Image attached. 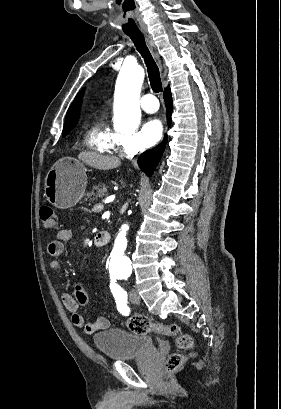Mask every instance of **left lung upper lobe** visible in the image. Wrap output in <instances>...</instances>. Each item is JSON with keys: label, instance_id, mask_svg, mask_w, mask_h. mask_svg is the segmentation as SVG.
Listing matches in <instances>:
<instances>
[{"label": "left lung upper lobe", "instance_id": "left-lung-upper-lobe-1", "mask_svg": "<svg viewBox=\"0 0 281 409\" xmlns=\"http://www.w3.org/2000/svg\"><path fill=\"white\" fill-rule=\"evenodd\" d=\"M81 94V91L78 93V96Z\"/></svg>", "mask_w": 281, "mask_h": 409}]
</instances>
